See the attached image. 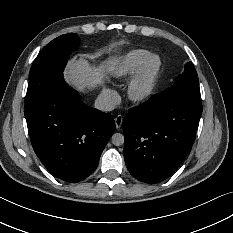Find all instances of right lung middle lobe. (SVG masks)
Wrapping results in <instances>:
<instances>
[{"mask_svg":"<svg viewBox=\"0 0 233 233\" xmlns=\"http://www.w3.org/2000/svg\"><path fill=\"white\" fill-rule=\"evenodd\" d=\"M79 42L76 34H64L40 51L30 70L26 107L45 96L61 80L68 57L78 48Z\"/></svg>","mask_w":233,"mask_h":233,"instance_id":"dd1d6c3e","label":"right lung middle lobe"}]
</instances>
